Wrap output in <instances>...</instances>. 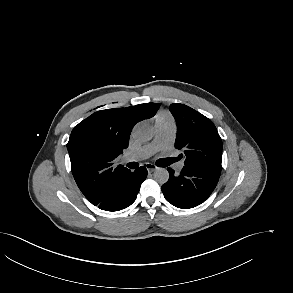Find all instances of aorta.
I'll use <instances>...</instances> for the list:
<instances>
[{
    "mask_svg": "<svg viewBox=\"0 0 293 293\" xmlns=\"http://www.w3.org/2000/svg\"><path fill=\"white\" fill-rule=\"evenodd\" d=\"M132 135L138 142H147L153 138L154 130L147 123H139L134 127ZM154 179L156 182L164 184L169 179V172L165 168H158L154 172Z\"/></svg>",
    "mask_w": 293,
    "mask_h": 293,
    "instance_id": "obj_1",
    "label": "aorta"
}]
</instances>
